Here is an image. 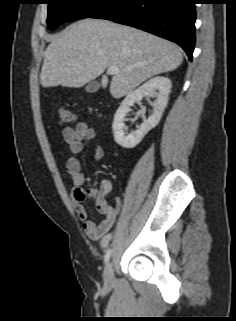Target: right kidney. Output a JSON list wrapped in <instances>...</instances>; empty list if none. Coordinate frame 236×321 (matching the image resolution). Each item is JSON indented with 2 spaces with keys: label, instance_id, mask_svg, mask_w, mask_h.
I'll use <instances>...</instances> for the list:
<instances>
[{
  "label": "right kidney",
  "instance_id": "1",
  "mask_svg": "<svg viewBox=\"0 0 236 321\" xmlns=\"http://www.w3.org/2000/svg\"><path fill=\"white\" fill-rule=\"evenodd\" d=\"M157 92V99L153 104V112L148 117L143 116V123L137 130L126 135L125 133V116L130 111L134 103H138L143 97ZM171 90V81L167 77L157 76L138 87L136 90L129 93L122 101L120 107L117 109L113 121V135L116 143L123 148H134L137 146L143 137L156 125H158L164 109L168 103V97Z\"/></svg>",
  "mask_w": 236,
  "mask_h": 321
}]
</instances>
